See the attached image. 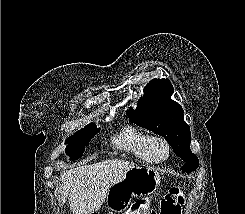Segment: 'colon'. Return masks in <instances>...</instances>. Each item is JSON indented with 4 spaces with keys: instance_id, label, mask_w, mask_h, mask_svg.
Returning a JSON list of instances; mask_svg holds the SVG:
<instances>
[{
    "instance_id": "colon-1",
    "label": "colon",
    "mask_w": 245,
    "mask_h": 214,
    "mask_svg": "<svg viewBox=\"0 0 245 214\" xmlns=\"http://www.w3.org/2000/svg\"><path fill=\"white\" fill-rule=\"evenodd\" d=\"M183 202L180 191L177 188L171 189L161 201L160 214H180ZM125 214H156V212L149 209L148 201L141 200L135 202Z\"/></svg>"
}]
</instances>
